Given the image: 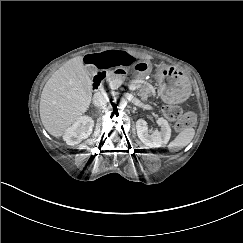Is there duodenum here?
I'll use <instances>...</instances> for the list:
<instances>
[{"label":"duodenum","instance_id":"obj_1","mask_svg":"<svg viewBox=\"0 0 243 243\" xmlns=\"http://www.w3.org/2000/svg\"><path fill=\"white\" fill-rule=\"evenodd\" d=\"M127 73H128V69H126V68H117L112 71H107V70L99 71L92 78V82H91L92 88L94 90L98 89L101 82L107 77H122Z\"/></svg>","mask_w":243,"mask_h":243}]
</instances>
